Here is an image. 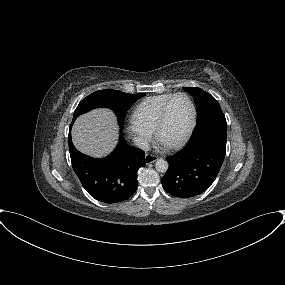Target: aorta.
<instances>
[{
	"instance_id": "obj_1",
	"label": "aorta",
	"mask_w": 285,
	"mask_h": 285,
	"mask_svg": "<svg viewBox=\"0 0 285 285\" xmlns=\"http://www.w3.org/2000/svg\"><path fill=\"white\" fill-rule=\"evenodd\" d=\"M168 162L164 159H157L155 162V168L158 172L164 173L168 170Z\"/></svg>"
}]
</instances>
